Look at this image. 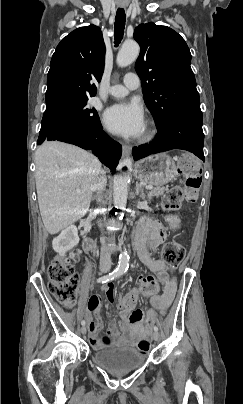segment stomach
<instances>
[{
    "mask_svg": "<svg viewBox=\"0 0 243 404\" xmlns=\"http://www.w3.org/2000/svg\"><path fill=\"white\" fill-rule=\"evenodd\" d=\"M135 174L141 182L163 186L177 176V167L174 160L166 153L148 156L135 165Z\"/></svg>",
    "mask_w": 243,
    "mask_h": 404,
    "instance_id": "1",
    "label": "stomach"
}]
</instances>
